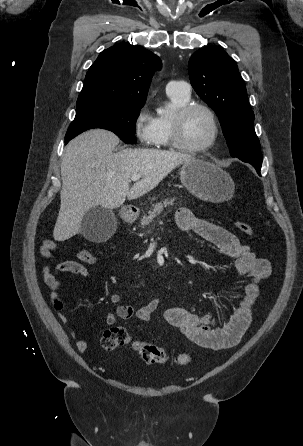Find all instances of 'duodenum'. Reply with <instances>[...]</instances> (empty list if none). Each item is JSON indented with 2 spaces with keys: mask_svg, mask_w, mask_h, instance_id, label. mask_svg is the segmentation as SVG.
Returning a JSON list of instances; mask_svg holds the SVG:
<instances>
[{
  "mask_svg": "<svg viewBox=\"0 0 303 446\" xmlns=\"http://www.w3.org/2000/svg\"><path fill=\"white\" fill-rule=\"evenodd\" d=\"M124 217H125V219H127V220L132 219V218H133V212H131L130 210H126V211L124 212Z\"/></svg>",
  "mask_w": 303,
  "mask_h": 446,
  "instance_id": "duodenum-1",
  "label": "duodenum"
}]
</instances>
